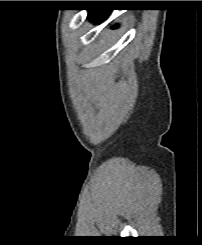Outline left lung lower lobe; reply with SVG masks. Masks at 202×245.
<instances>
[{"instance_id": "1", "label": "left lung lower lobe", "mask_w": 202, "mask_h": 245, "mask_svg": "<svg viewBox=\"0 0 202 245\" xmlns=\"http://www.w3.org/2000/svg\"><path fill=\"white\" fill-rule=\"evenodd\" d=\"M109 11L107 9L89 10L88 18L92 21L102 22L108 17Z\"/></svg>"}]
</instances>
